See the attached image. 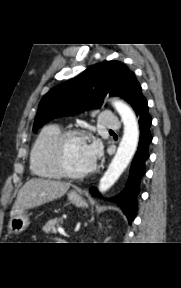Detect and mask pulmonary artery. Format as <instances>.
<instances>
[{
    "label": "pulmonary artery",
    "instance_id": "obj_1",
    "mask_svg": "<svg viewBox=\"0 0 181 288\" xmlns=\"http://www.w3.org/2000/svg\"><path fill=\"white\" fill-rule=\"evenodd\" d=\"M99 119L104 128L118 129L120 127L119 119L111 112H102Z\"/></svg>",
    "mask_w": 181,
    "mask_h": 288
}]
</instances>
